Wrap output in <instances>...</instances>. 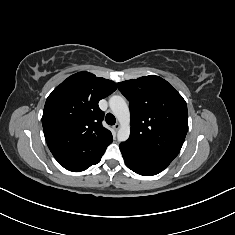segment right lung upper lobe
I'll use <instances>...</instances> for the list:
<instances>
[{"instance_id": "right-lung-upper-lobe-1", "label": "right lung upper lobe", "mask_w": 235, "mask_h": 235, "mask_svg": "<svg viewBox=\"0 0 235 235\" xmlns=\"http://www.w3.org/2000/svg\"><path fill=\"white\" fill-rule=\"evenodd\" d=\"M116 84L89 72L71 75L48 96L42 125L47 145L63 165L88 162L112 143L102 126L98 102L116 90Z\"/></svg>"}]
</instances>
